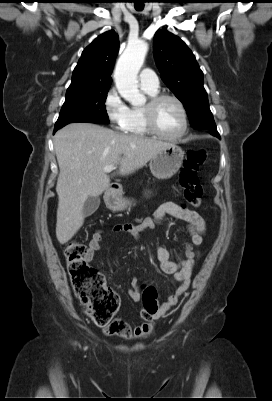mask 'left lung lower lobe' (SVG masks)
Returning a JSON list of instances; mask_svg holds the SVG:
<instances>
[{
  "label": "left lung lower lobe",
  "mask_w": 272,
  "mask_h": 401,
  "mask_svg": "<svg viewBox=\"0 0 272 401\" xmlns=\"http://www.w3.org/2000/svg\"><path fill=\"white\" fill-rule=\"evenodd\" d=\"M210 133L220 139V136H219V133L217 132V130H210Z\"/></svg>",
  "instance_id": "0a47b994"
}]
</instances>
